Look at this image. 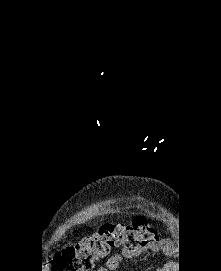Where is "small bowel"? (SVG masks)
<instances>
[{"instance_id":"c3829d8e","label":"small bowel","mask_w":221,"mask_h":271,"mask_svg":"<svg viewBox=\"0 0 221 271\" xmlns=\"http://www.w3.org/2000/svg\"><path fill=\"white\" fill-rule=\"evenodd\" d=\"M168 245V242L165 240L155 239L153 242L140 249H123L121 252L112 254L107 259L105 266L98 268V271H116L123 259L137 257L145 253H159L162 251H167ZM158 271H164V269H159Z\"/></svg>"}]
</instances>
